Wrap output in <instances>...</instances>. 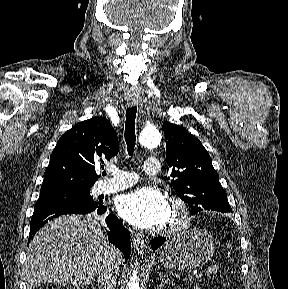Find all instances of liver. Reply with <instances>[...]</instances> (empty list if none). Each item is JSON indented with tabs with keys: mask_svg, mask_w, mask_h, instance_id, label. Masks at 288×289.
<instances>
[{
	"mask_svg": "<svg viewBox=\"0 0 288 289\" xmlns=\"http://www.w3.org/2000/svg\"><path fill=\"white\" fill-rule=\"evenodd\" d=\"M114 251L116 261L121 264V253L109 243L93 214L55 218L28 246L25 263L28 289L46 282L88 285L114 256Z\"/></svg>",
	"mask_w": 288,
	"mask_h": 289,
	"instance_id": "obj_1",
	"label": "liver"
}]
</instances>
